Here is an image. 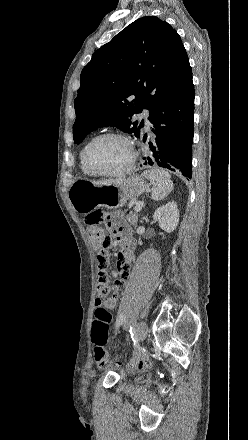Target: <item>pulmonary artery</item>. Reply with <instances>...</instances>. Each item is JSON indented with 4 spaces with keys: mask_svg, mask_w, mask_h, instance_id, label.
Returning a JSON list of instances; mask_svg holds the SVG:
<instances>
[{
    "mask_svg": "<svg viewBox=\"0 0 248 440\" xmlns=\"http://www.w3.org/2000/svg\"><path fill=\"white\" fill-rule=\"evenodd\" d=\"M143 116H144L145 119H147V117H148V113H147V112H144V113H143Z\"/></svg>",
    "mask_w": 248,
    "mask_h": 440,
    "instance_id": "pulmonary-artery-1",
    "label": "pulmonary artery"
}]
</instances>
